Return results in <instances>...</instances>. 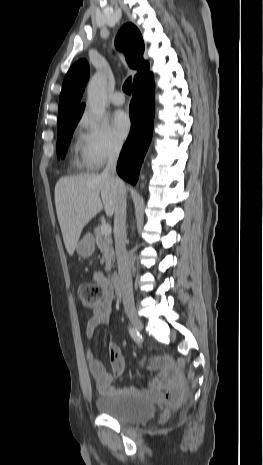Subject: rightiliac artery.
<instances>
[{
  "instance_id": "82829eb1",
  "label": "right iliac artery",
  "mask_w": 263,
  "mask_h": 465,
  "mask_svg": "<svg viewBox=\"0 0 263 465\" xmlns=\"http://www.w3.org/2000/svg\"><path fill=\"white\" fill-rule=\"evenodd\" d=\"M129 333H130L132 339L137 344H140L142 342V337H141V335L139 334V332L136 329H134L133 327H129Z\"/></svg>"
}]
</instances>
